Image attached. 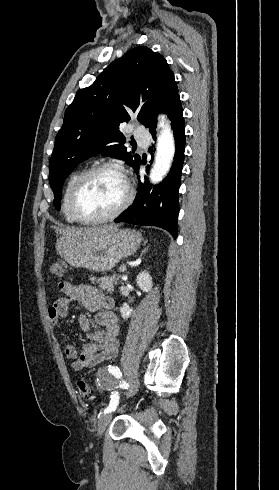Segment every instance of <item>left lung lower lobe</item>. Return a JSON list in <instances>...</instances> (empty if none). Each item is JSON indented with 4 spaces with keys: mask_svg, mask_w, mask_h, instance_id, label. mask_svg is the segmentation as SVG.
I'll list each match as a JSON object with an SVG mask.
<instances>
[{
    "mask_svg": "<svg viewBox=\"0 0 279 490\" xmlns=\"http://www.w3.org/2000/svg\"><path fill=\"white\" fill-rule=\"evenodd\" d=\"M165 113L168 114V117L172 121L171 124L176 142V152L172 167L165 179L153 188L148 185V182L143 184L139 181L138 191L132 206L119 215L115 219V222L157 226L168 231L176 239L179 213L178 195L185 157V125L179 96L174 99ZM148 128L155 140L156 122ZM142 163L143 161L140 160L135 167L136 173H138ZM148 168L149 166H147V170Z\"/></svg>",
    "mask_w": 279,
    "mask_h": 490,
    "instance_id": "1",
    "label": "left lung lower lobe"
}]
</instances>
